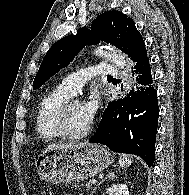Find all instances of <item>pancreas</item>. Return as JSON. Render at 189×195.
Masks as SVG:
<instances>
[{"label":"pancreas","instance_id":"pancreas-1","mask_svg":"<svg viewBox=\"0 0 189 195\" xmlns=\"http://www.w3.org/2000/svg\"><path fill=\"white\" fill-rule=\"evenodd\" d=\"M84 186L85 188L89 189L90 188V183H86V184H80V183H75L73 184V187L75 189H80V187Z\"/></svg>","mask_w":189,"mask_h":195}]
</instances>
